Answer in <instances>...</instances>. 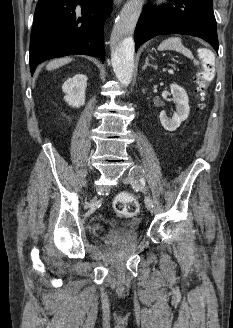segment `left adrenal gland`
<instances>
[{
  "label": "left adrenal gland",
  "instance_id": "1",
  "mask_svg": "<svg viewBox=\"0 0 233 328\" xmlns=\"http://www.w3.org/2000/svg\"><path fill=\"white\" fill-rule=\"evenodd\" d=\"M148 66L149 67H153L154 69H157V66L156 65H153V64H150L149 63V58L146 57L145 64L143 65L142 70H145Z\"/></svg>",
  "mask_w": 233,
  "mask_h": 328
}]
</instances>
